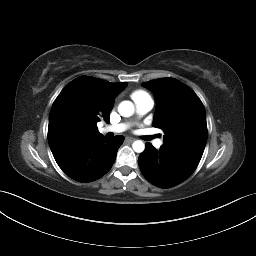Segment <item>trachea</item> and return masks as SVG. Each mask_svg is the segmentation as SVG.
I'll use <instances>...</instances> for the list:
<instances>
[{
  "instance_id": "obj_1",
  "label": "trachea",
  "mask_w": 256,
  "mask_h": 256,
  "mask_svg": "<svg viewBox=\"0 0 256 256\" xmlns=\"http://www.w3.org/2000/svg\"><path fill=\"white\" fill-rule=\"evenodd\" d=\"M152 138H155V136H146V137H145V140H150V139H152Z\"/></svg>"
}]
</instances>
